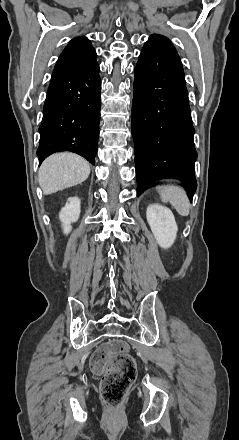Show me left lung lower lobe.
I'll list each match as a JSON object with an SVG mask.
<instances>
[{"label": "left lung lower lobe", "instance_id": "left-lung-lower-lobe-1", "mask_svg": "<svg viewBox=\"0 0 239 440\" xmlns=\"http://www.w3.org/2000/svg\"><path fill=\"white\" fill-rule=\"evenodd\" d=\"M134 73L131 117L137 194L152 181L174 178L186 185L192 200L197 152L180 57L143 47Z\"/></svg>", "mask_w": 239, "mask_h": 440}]
</instances>
